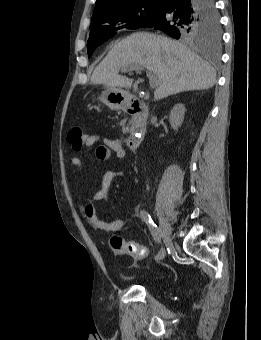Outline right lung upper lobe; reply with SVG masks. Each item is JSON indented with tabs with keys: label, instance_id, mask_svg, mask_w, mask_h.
I'll return each instance as SVG.
<instances>
[{
	"label": "right lung upper lobe",
	"instance_id": "cb5924a9",
	"mask_svg": "<svg viewBox=\"0 0 261 340\" xmlns=\"http://www.w3.org/2000/svg\"><path fill=\"white\" fill-rule=\"evenodd\" d=\"M145 0H96L95 9L92 16V21L98 20L105 14L135 2Z\"/></svg>",
	"mask_w": 261,
	"mask_h": 340
}]
</instances>
